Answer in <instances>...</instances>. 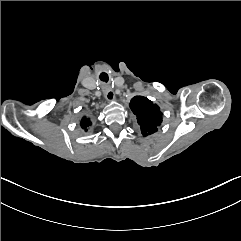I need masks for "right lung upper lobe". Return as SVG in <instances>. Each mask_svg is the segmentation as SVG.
Returning <instances> with one entry per match:
<instances>
[{"label":"right lung upper lobe","mask_w":241,"mask_h":241,"mask_svg":"<svg viewBox=\"0 0 241 241\" xmlns=\"http://www.w3.org/2000/svg\"><path fill=\"white\" fill-rule=\"evenodd\" d=\"M80 124L83 129H86L87 127H89L91 125V122L88 118L83 117Z\"/></svg>","instance_id":"1"}]
</instances>
